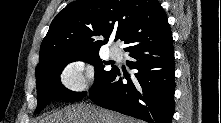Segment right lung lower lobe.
I'll return each mask as SVG.
<instances>
[{
	"label": "right lung lower lobe",
	"instance_id": "obj_1",
	"mask_svg": "<svg viewBox=\"0 0 221 123\" xmlns=\"http://www.w3.org/2000/svg\"><path fill=\"white\" fill-rule=\"evenodd\" d=\"M127 61L137 73H120L118 68L89 91L91 100L148 123H171L174 114V49L172 34L155 42L137 45L129 50ZM128 82L124 84L122 79Z\"/></svg>",
	"mask_w": 221,
	"mask_h": 123
}]
</instances>
